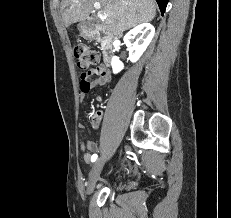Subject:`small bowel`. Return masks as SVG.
Instances as JSON below:
<instances>
[{
    "label": "small bowel",
    "mask_w": 231,
    "mask_h": 218,
    "mask_svg": "<svg viewBox=\"0 0 231 218\" xmlns=\"http://www.w3.org/2000/svg\"><path fill=\"white\" fill-rule=\"evenodd\" d=\"M104 64L99 63L98 66H94V69H82L80 88L82 95H85L94 87L104 86L111 80L110 73L103 68ZM93 76L95 78L93 79ZM79 128L83 129L84 125L79 124ZM81 149L84 151V161L89 163L91 161L92 153L97 150V145L93 141H82L80 144Z\"/></svg>",
    "instance_id": "c3829d8e"
}]
</instances>
